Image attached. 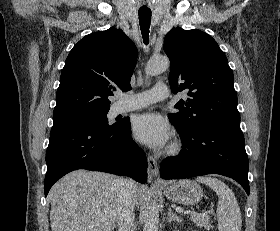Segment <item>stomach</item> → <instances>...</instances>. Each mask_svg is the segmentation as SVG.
I'll return each instance as SVG.
<instances>
[{
  "label": "stomach",
  "mask_w": 280,
  "mask_h": 231,
  "mask_svg": "<svg viewBox=\"0 0 280 231\" xmlns=\"http://www.w3.org/2000/svg\"><path fill=\"white\" fill-rule=\"evenodd\" d=\"M164 195L177 203L184 205H195L203 197V189L197 181L192 179H180V181H168L167 187H164Z\"/></svg>",
  "instance_id": "obj_1"
}]
</instances>
